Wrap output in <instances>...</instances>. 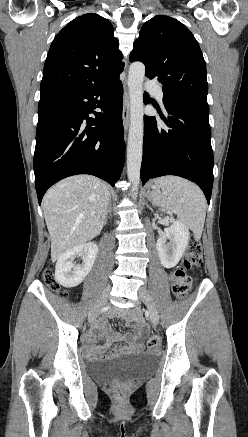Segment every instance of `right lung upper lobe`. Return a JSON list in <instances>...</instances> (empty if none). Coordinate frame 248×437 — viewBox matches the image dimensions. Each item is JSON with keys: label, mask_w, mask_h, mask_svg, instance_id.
I'll use <instances>...</instances> for the list:
<instances>
[{"label": "right lung upper lobe", "mask_w": 248, "mask_h": 437, "mask_svg": "<svg viewBox=\"0 0 248 437\" xmlns=\"http://www.w3.org/2000/svg\"><path fill=\"white\" fill-rule=\"evenodd\" d=\"M112 24L98 14L79 16L54 38L43 70L41 92L104 84L122 71V53Z\"/></svg>", "instance_id": "cb5924a9"}]
</instances>
